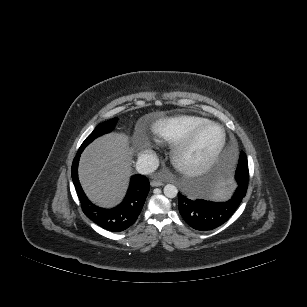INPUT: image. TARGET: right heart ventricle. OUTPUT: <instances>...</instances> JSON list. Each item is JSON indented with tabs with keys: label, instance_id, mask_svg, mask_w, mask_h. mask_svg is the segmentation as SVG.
Returning a JSON list of instances; mask_svg holds the SVG:
<instances>
[{
	"label": "right heart ventricle",
	"instance_id": "1",
	"mask_svg": "<svg viewBox=\"0 0 307 307\" xmlns=\"http://www.w3.org/2000/svg\"><path fill=\"white\" fill-rule=\"evenodd\" d=\"M209 122L208 119L195 115H180L159 121L153 135L160 143L177 144L198 126Z\"/></svg>",
	"mask_w": 307,
	"mask_h": 307
}]
</instances>
